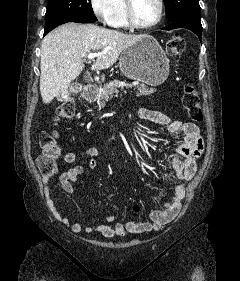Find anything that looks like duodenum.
Here are the masks:
<instances>
[{"label": "duodenum", "instance_id": "410a0bca", "mask_svg": "<svg viewBox=\"0 0 240 281\" xmlns=\"http://www.w3.org/2000/svg\"><path fill=\"white\" fill-rule=\"evenodd\" d=\"M97 96V88L96 87H89L83 94V98L85 101H93Z\"/></svg>", "mask_w": 240, "mask_h": 281}]
</instances>
